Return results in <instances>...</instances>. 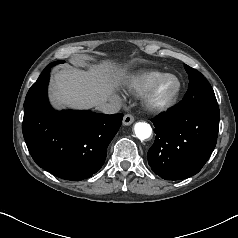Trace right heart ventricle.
<instances>
[{
	"label": "right heart ventricle",
	"mask_w": 238,
	"mask_h": 238,
	"mask_svg": "<svg viewBox=\"0 0 238 238\" xmlns=\"http://www.w3.org/2000/svg\"><path fill=\"white\" fill-rule=\"evenodd\" d=\"M164 72L159 70H141L132 74L127 80V90L133 95L143 94L150 84Z\"/></svg>",
	"instance_id": "right-heart-ventricle-1"
}]
</instances>
